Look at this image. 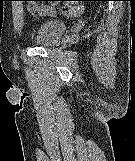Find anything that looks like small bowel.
<instances>
[{"label":"small bowel","mask_w":135,"mask_h":161,"mask_svg":"<svg viewBox=\"0 0 135 161\" xmlns=\"http://www.w3.org/2000/svg\"><path fill=\"white\" fill-rule=\"evenodd\" d=\"M53 11L54 10L51 7H45V8L40 9V12H44V13H46V12H53Z\"/></svg>","instance_id":"obj_1"}]
</instances>
